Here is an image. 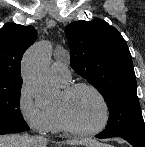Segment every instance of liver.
<instances>
[{
	"instance_id": "1",
	"label": "liver",
	"mask_w": 145,
	"mask_h": 147,
	"mask_svg": "<svg viewBox=\"0 0 145 147\" xmlns=\"http://www.w3.org/2000/svg\"><path fill=\"white\" fill-rule=\"evenodd\" d=\"M69 145H85L87 147H101L106 146L102 145L94 140L85 139V140H72L67 142ZM0 147H47V144L40 145L38 144L33 137L27 135H3L0 136ZM110 147V146H106Z\"/></svg>"
}]
</instances>
